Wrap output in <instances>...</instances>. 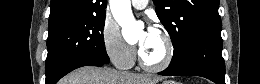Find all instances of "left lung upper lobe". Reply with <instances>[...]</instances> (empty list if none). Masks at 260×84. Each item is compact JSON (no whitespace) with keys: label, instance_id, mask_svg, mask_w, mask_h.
Here are the masks:
<instances>
[{"label":"left lung upper lobe","instance_id":"1","mask_svg":"<svg viewBox=\"0 0 260 84\" xmlns=\"http://www.w3.org/2000/svg\"><path fill=\"white\" fill-rule=\"evenodd\" d=\"M174 47L171 63L179 60L197 39L220 35L219 0H153Z\"/></svg>","mask_w":260,"mask_h":84}]
</instances>
